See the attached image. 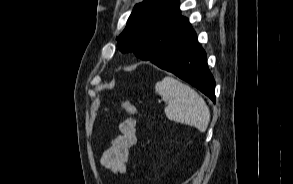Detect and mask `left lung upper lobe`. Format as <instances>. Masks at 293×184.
Segmentation results:
<instances>
[{
  "instance_id": "1",
  "label": "left lung upper lobe",
  "mask_w": 293,
  "mask_h": 184,
  "mask_svg": "<svg viewBox=\"0 0 293 184\" xmlns=\"http://www.w3.org/2000/svg\"><path fill=\"white\" fill-rule=\"evenodd\" d=\"M179 11L178 0H144L136 4L123 32L116 38L120 51L133 52L149 60L147 47L153 37L163 34L170 18Z\"/></svg>"
}]
</instances>
